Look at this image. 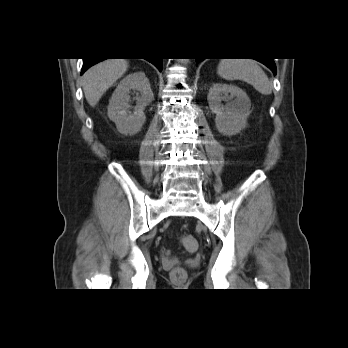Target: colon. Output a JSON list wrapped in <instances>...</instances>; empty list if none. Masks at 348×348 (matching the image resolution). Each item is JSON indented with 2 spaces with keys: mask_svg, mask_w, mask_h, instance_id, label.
I'll return each instance as SVG.
<instances>
[{
  "mask_svg": "<svg viewBox=\"0 0 348 348\" xmlns=\"http://www.w3.org/2000/svg\"><path fill=\"white\" fill-rule=\"evenodd\" d=\"M181 245L188 252H194L197 249V242L192 236H183L181 238ZM172 274L175 277H179L183 276L184 272L181 268L177 267L172 271Z\"/></svg>",
  "mask_w": 348,
  "mask_h": 348,
  "instance_id": "colon-1",
  "label": "colon"
}]
</instances>
